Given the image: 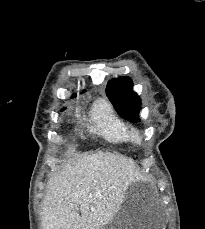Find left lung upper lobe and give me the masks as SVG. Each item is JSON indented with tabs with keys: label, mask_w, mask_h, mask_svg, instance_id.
I'll list each match as a JSON object with an SVG mask.
<instances>
[{
	"label": "left lung upper lobe",
	"mask_w": 205,
	"mask_h": 229,
	"mask_svg": "<svg viewBox=\"0 0 205 229\" xmlns=\"http://www.w3.org/2000/svg\"><path fill=\"white\" fill-rule=\"evenodd\" d=\"M133 83L128 77H120L108 82L106 94L113 103L118 114L130 122L140 121L138 114L141 100L132 91Z\"/></svg>",
	"instance_id": "5c2ea615"
}]
</instances>
